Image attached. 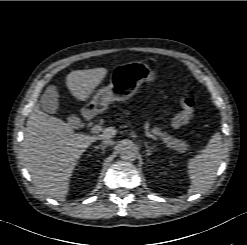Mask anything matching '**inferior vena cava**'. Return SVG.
<instances>
[{"label":"inferior vena cava","instance_id":"1","mask_svg":"<svg viewBox=\"0 0 247 245\" xmlns=\"http://www.w3.org/2000/svg\"><path fill=\"white\" fill-rule=\"evenodd\" d=\"M102 144H104V145H113L114 141L112 139H110V138H104L102 140Z\"/></svg>","mask_w":247,"mask_h":245}]
</instances>
